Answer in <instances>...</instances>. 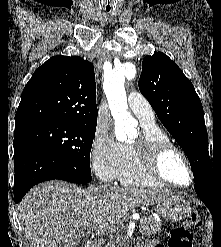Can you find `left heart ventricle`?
Instances as JSON below:
<instances>
[{
    "label": "left heart ventricle",
    "mask_w": 221,
    "mask_h": 247,
    "mask_svg": "<svg viewBox=\"0 0 221 247\" xmlns=\"http://www.w3.org/2000/svg\"><path fill=\"white\" fill-rule=\"evenodd\" d=\"M161 167L164 175L171 181L178 184L188 183L189 173L185 163L177 154L170 153L164 156Z\"/></svg>",
    "instance_id": "obj_1"
}]
</instances>
